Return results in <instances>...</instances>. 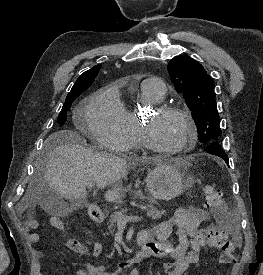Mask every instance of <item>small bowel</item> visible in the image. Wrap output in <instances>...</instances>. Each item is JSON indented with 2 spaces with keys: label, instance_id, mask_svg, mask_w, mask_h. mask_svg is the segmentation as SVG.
<instances>
[{
  "label": "small bowel",
  "instance_id": "small-bowel-1",
  "mask_svg": "<svg viewBox=\"0 0 263 275\" xmlns=\"http://www.w3.org/2000/svg\"><path fill=\"white\" fill-rule=\"evenodd\" d=\"M59 219V226H54V221ZM210 219L208 212L202 208L177 209L173 216L165 221L158 223L151 229H146L140 233L147 238V249L150 256L167 258L168 261L162 266V269L156 275H183L190 265L196 264L199 260L201 247L204 245L200 226ZM54 228L62 230L64 223L62 219L54 217L51 220ZM27 225L30 228H36L38 223L35 220H28ZM177 237V243L170 241L172 234ZM155 236L156 240L152 237ZM31 240L37 242L39 235L31 234ZM67 247L79 254L91 257H97L101 254L103 246L96 241L89 248L86 244L75 238H70L66 242ZM123 274L120 269L109 270L107 266H96L86 263L83 269H78L73 275H120ZM38 275H43L39 273ZM125 275H138V271L133 268Z\"/></svg>",
  "mask_w": 263,
  "mask_h": 275
}]
</instances>
